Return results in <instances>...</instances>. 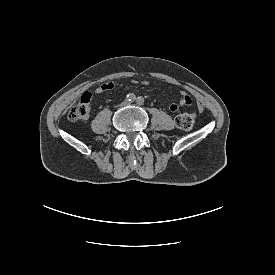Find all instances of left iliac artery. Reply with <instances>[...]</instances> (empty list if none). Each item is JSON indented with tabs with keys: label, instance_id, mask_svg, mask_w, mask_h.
<instances>
[{
	"label": "left iliac artery",
	"instance_id": "1",
	"mask_svg": "<svg viewBox=\"0 0 275 275\" xmlns=\"http://www.w3.org/2000/svg\"><path fill=\"white\" fill-rule=\"evenodd\" d=\"M137 103L143 104L144 103V99L142 97H138L137 98Z\"/></svg>",
	"mask_w": 275,
	"mask_h": 275
}]
</instances>
